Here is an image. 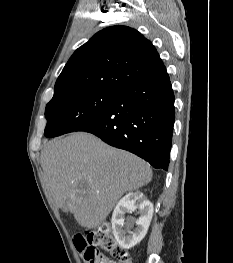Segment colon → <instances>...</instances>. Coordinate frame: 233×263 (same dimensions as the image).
<instances>
[{"label":"colon","instance_id":"5ec220e1","mask_svg":"<svg viewBox=\"0 0 233 263\" xmlns=\"http://www.w3.org/2000/svg\"><path fill=\"white\" fill-rule=\"evenodd\" d=\"M74 242L85 263H107L109 256L116 257L119 263H134L130 254L117 243L107 223L86 236L75 235Z\"/></svg>","mask_w":233,"mask_h":263}]
</instances>
